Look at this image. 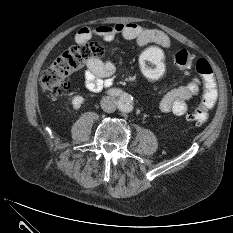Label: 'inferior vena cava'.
I'll return each instance as SVG.
<instances>
[{
  "mask_svg": "<svg viewBox=\"0 0 233 233\" xmlns=\"http://www.w3.org/2000/svg\"><path fill=\"white\" fill-rule=\"evenodd\" d=\"M101 108L107 113H112L117 108V100L110 96L104 97L101 101Z\"/></svg>",
  "mask_w": 233,
  "mask_h": 233,
  "instance_id": "602c4592",
  "label": "inferior vena cava"
}]
</instances>
